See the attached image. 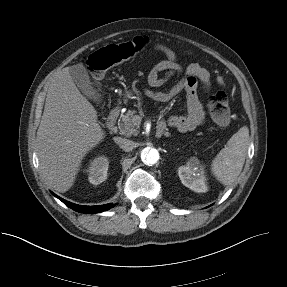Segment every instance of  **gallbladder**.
Instances as JSON below:
<instances>
[{"label": "gallbladder", "instance_id": "1", "mask_svg": "<svg viewBox=\"0 0 287 287\" xmlns=\"http://www.w3.org/2000/svg\"><path fill=\"white\" fill-rule=\"evenodd\" d=\"M70 74L81 92L89 99L97 101L99 94L96 88L93 86L89 77L87 69L83 64H76L69 67Z\"/></svg>", "mask_w": 287, "mask_h": 287}]
</instances>
